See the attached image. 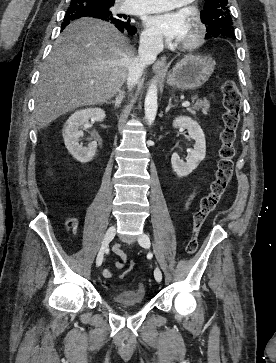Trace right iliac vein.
<instances>
[{
	"label": "right iliac vein",
	"instance_id": "1",
	"mask_svg": "<svg viewBox=\"0 0 276 363\" xmlns=\"http://www.w3.org/2000/svg\"><path fill=\"white\" fill-rule=\"evenodd\" d=\"M115 233H116L115 226L114 225L110 226L109 229L107 230L105 236H104L101 248H100V250H99V252L97 254V258H96V265L97 266L101 265V263L103 261L104 253L106 251V248L108 247L109 243L113 240V238L115 236Z\"/></svg>",
	"mask_w": 276,
	"mask_h": 363
}]
</instances>
